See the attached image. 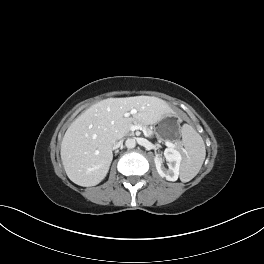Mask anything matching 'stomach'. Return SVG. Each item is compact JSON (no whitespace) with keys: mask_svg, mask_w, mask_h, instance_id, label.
I'll use <instances>...</instances> for the list:
<instances>
[{"mask_svg":"<svg viewBox=\"0 0 264 264\" xmlns=\"http://www.w3.org/2000/svg\"><path fill=\"white\" fill-rule=\"evenodd\" d=\"M180 122L181 119L177 115L164 117L155 128L157 137L170 140L176 138L180 134Z\"/></svg>","mask_w":264,"mask_h":264,"instance_id":"obj_1","label":"stomach"}]
</instances>
